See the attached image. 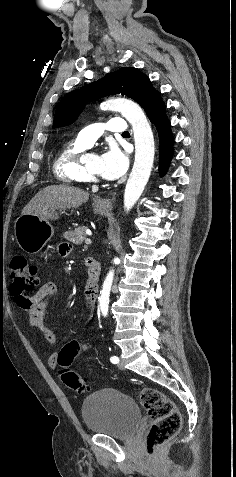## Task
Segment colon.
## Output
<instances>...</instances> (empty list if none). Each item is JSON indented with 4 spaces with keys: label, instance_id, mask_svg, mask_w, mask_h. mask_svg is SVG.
Segmentation results:
<instances>
[{
    "label": "colon",
    "instance_id": "obj_1",
    "mask_svg": "<svg viewBox=\"0 0 236 477\" xmlns=\"http://www.w3.org/2000/svg\"><path fill=\"white\" fill-rule=\"evenodd\" d=\"M11 270L12 294L19 305L21 298L28 296L37 286L38 267L30 264L24 256H16L12 260ZM84 349L85 346L79 342H69L62 347L57 358L61 367L62 381L79 394L85 393L88 386L78 372L70 366ZM139 399L152 424L146 440L147 454L154 456L162 445L178 433L182 418L174 403L156 388H144L140 392Z\"/></svg>",
    "mask_w": 236,
    "mask_h": 477
}]
</instances>
